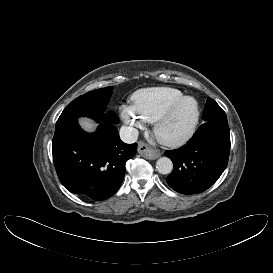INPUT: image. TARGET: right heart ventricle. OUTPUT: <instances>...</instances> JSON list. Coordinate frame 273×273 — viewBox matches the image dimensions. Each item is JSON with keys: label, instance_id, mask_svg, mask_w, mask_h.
I'll return each mask as SVG.
<instances>
[{"label": "right heart ventricle", "instance_id": "e07e8e85", "mask_svg": "<svg viewBox=\"0 0 273 273\" xmlns=\"http://www.w3.org/2000/svg\"><path fill=\"white\" fill-rule=\"evenodd\" d=\"M183 96L181 91L174 88L152 87L136 91L131 100L133 107L142 118L146 122L153 123L169 104Z\"/></svg>", "mask_w": 273, "mask_h": 273}]
</instances>
